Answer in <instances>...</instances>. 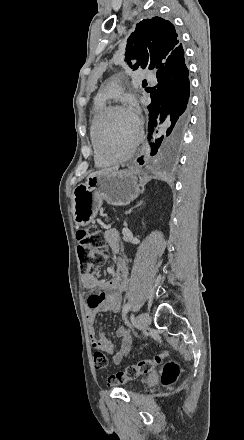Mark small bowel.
I'll return each mask as SVG.
<instances>
[{
  "instance_id": "1",
  "label": "small bowel",
  "mask_w": 244,
  "mask_h": 440,
  "mask_svg": "<svg viewBox=\"0 0 244 440\" xmlns=\"http://www.w3.org/2000/svg\"><path fill=\"white\" fill-rule=\"evenodd\" d=\"M105 242L110 249L118 251L120 246V235L114 228H109L104 232ZM128 271L123 259L119 258L115 264V271L109 280H100L93 274H84L82 277L83 285L91 291L87 299V321L89 323L88 334L90 344L94 349L102 350L113 356L116 364L122 362L133 349V339L129 330L125 326H120L116 330V335L120 338L119 348L105 336L103 329L96 333L93 326L95 317L99 313H117L120 310L124 291L127 286Z\"/></svg>"
}]
</instances>
